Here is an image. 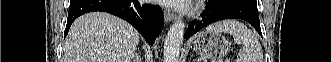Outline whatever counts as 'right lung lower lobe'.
<instances>
[{"mask_svg": "<svg viewBox=\"0 0 331 62\" xmlns=\"http://www.w3.org/2000/svg\"><path fill=\"white\" fill-rule=\"evenodd\" d=\"M94 11L107 12L126 20L150 45L164 26L163 12L157 5L142 4L138 0H71L65 36L77 17Z\"/></svg>", "mask_w": 331, "mask_h": 62, "instance_id": "98d812e1", "label": "right lung lower lobe"}]
</instances>
